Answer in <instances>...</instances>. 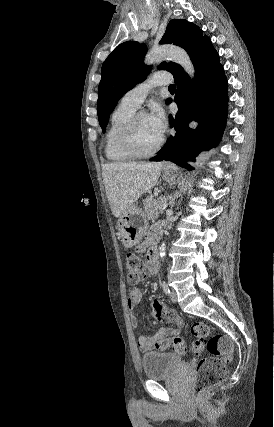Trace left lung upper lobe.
I'll return each instance as SVG.
<instances>
[{"label":"left lung upper lobe","instance_id":"obj_1","mask_svg":"<svg viewBox=\"0 0 274 427\" xmlns=\"http://www.w3.org/2000/svg\"><path fill=\"white\" fill-rule=\"evenodd\" d=\"M202 30L186 20H171L160 44H174L184 48L189 56L203 40ZM146 47L135 41L118 45L103 63L99 84L98 119L106 131L107 121L118 100L130 89L146 78L149 68L143 64ZM159 70H167L175 75L182 67L173 62H163Z\"/></svg>","mask_w":274,"mask_h":427}]
</instances>
